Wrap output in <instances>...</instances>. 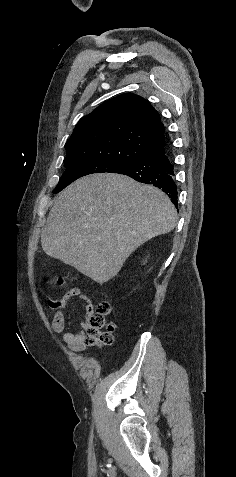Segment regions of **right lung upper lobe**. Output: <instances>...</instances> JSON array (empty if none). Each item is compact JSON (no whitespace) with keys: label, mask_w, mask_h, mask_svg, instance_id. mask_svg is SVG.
Here are the masks:
<instances>
[{"label":"right lung upper lobe","mask_w":236,"mask_h":477,"mask_svg":"<svg viewBox=\"0 0 236 477\" xmlns=\"http://www.w3.org/2000/svg\"><path fill=\"white\" fill-rule=\"evenodd\" d=\"M157 111L141 96L125 93L82 118L65 145V161L109 158L130 164L165 145Z\"/></svg>","instance_id":"right-lung-upper-lobe-1"}]
</instances>
